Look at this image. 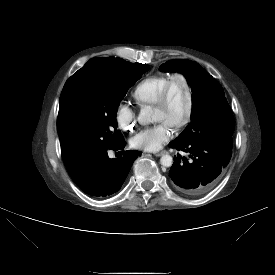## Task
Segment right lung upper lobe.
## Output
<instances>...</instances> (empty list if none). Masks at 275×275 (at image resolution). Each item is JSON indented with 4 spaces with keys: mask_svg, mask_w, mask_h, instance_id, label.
I'll list each match as a JSON object with an SVG mask.
<instances>
[{
    "mask_svg": "<svg viewBox=\"0 0 275 275\" xmlns=\"http://www.w3.org/2000/svg\"><path fill=\"white\" fill-rule=\"evenodd\" d=\"M123 62H126L125 60L121 59V58H115V57H108V58H105V57H95V58H92L91 60H89L80 70H78L77 73H80L82 72L83 70H85L86 68L92 66V65H98V64H120V63H123ZM77 161H73V160H64V163L67 167V169H71L75 166Z\"/></svg>",
    "mask_w": 275,
    "mask_h": 275,
    "instance_id": "right-lung-upper-lobe-1",
    "label": "right lung upper lobe"
}]
</instances>
